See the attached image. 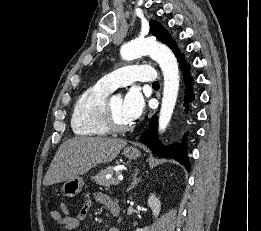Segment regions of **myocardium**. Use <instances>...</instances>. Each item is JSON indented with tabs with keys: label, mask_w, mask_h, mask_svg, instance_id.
I'll list each match as a JSON object with an SVG mask.
<instances>
[{
	"label": "myocardium",
	"mask_w": 261,
	"mask_h": 231,
	"mask_svg": "<svg viewBox=\"0 0 261 231\" xmlns=\"http://www.w3.org/2000/svg\"><path fill=\"white\" fill-rule=\"evenodd\" d=\"M103 122L111 132H117V133L130 131L134 126L133 123L123 125L116 120L114 112L111 107V99H107L104 105Z\"/></svg>",
	"instance_id": "obj_1"
}]
</instances>
